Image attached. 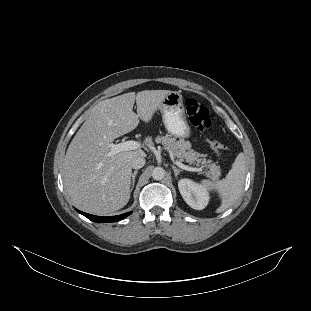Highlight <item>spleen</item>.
<instances>
[{
  "instance_id": "1",
  "label": "spleen",
  "mask_w": 311,
  "mask_h": 311,
  "mask_svg": "<svg viewBox=\"0 0 311 311\" xmlns=\"http://www.w3.org/2000/svg\"><path fill=\"white\" fill-rule=\"evenodd\" d=\"M246 175V160L244 153L237 154L232 163V168L224 179L214 181L201 179L199 185L209 193H216L220 199V206L216 213H220L233 205L241 196L244 189Z\"/></svg>"
}]
</instances>
